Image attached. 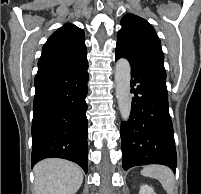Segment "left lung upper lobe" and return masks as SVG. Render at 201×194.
Wrapping results in <instances>:
<instances>
[{
  "mask_svg": "<svg viewBox=\"0 0 201 194\" xmlns=\"http://www.w3.org/2000/svg\"><path fill=\"white\" fill-rule=\"evenodd\" d=\"M122 28L117 34L116 49L127 57L163 65L164 54L161 41L154 28L143 18L126 14L121 20Z\"/></svg>",
  "mask_w": 201,
  "mask_h": 194,
  "instance_id": "left-lung-upper-lobe-1",
  "label": "left lung upper lobe"
}]
</instances>
